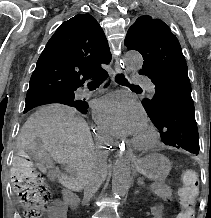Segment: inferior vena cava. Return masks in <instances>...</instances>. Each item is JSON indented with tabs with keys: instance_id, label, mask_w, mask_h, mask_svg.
I'll return each instance as SVG.
<instances>
[{
	"instance_id": "602c4592",
	"label": "inferior vena cava",
	"mask_w": 211,
	"mask_h": 218,
	"mask_svg": "<svg viewBox=\"0 0 211 218\" xmlns=\"http://www.w3.org/2000/svg\"><path fill=\"white\" fill-rule=\"evenodd\" d=\"M98 154H100L102 160H105L106 154H102V152H98ZM102 182H104V178L99 170L84 174L82 182H79L81 188L84 190V202H90L91 198H93L94 194L99 190Z\"/></svg>"
}]
</instances>
